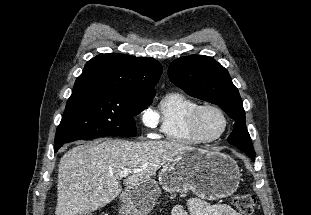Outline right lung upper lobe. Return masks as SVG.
Wrapping results in <instances>:
<instances>
[{
	"label": "right lung upper lobe",
	"instance_id": "right-lung-upper-lobe-1",
	"mask_svg": "<svg viewBox=\"0 0 311 215\" xmlns=\"http://www.w3.org/2000/svg\"><path fill=\"white\" fill-rule=\"evenodd\" d=\"M161 64L146 57L99 54L88 61L74 89L98 88L140 96H155Z\"/></svg>",
	"mask_w": 311,
	"mask_h": 215
}]
</instances>
